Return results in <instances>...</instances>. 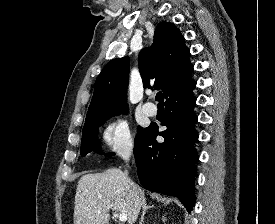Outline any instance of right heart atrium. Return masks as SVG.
I'll return each mask as SVG.
<instances>
[{
    "label": "right heart atrium",
    "instance_id": "1",
    "mask_svg": "<svg viewBox=\"0 0 275 224\" xmlns=\"http://www.w3.org/2000/svg\"><path fill=\"white\" fill-rule=\"evenodd\" d=\"M102 140L110 151L119 155H128L133 150L129 126L123 119L109 123L103 130Z\"/></svg>",
    "mask_w": 275,
    "mask_h": 224
}]
</instances>
